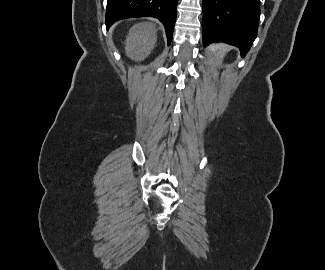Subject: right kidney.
<instances>
[{"mask_svg": "<svg viewBox=\"0 0 325 270\" xmlns=\"http://www.w3.org/2000/svg\"><path fill=\"white\" fill-rule=\"evenodd\" d=\"M156 28L151 23H140L133 26L125 42L126 54L135 61L144 60L154 49Z\"/></svg>", "mask_w": 325, "mask_h": 270, "instance_id": "1", "label": "right kidney"}]
</instances>
